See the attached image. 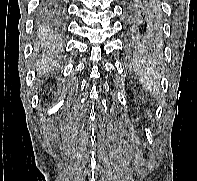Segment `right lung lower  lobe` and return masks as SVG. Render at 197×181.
Listing matches in <instances>:
<instances>
[{
  "instance_id": "obj_1",
  "label": "right lung lower lobe",
  "mask_w": 197,
  "mask_h": 181,
  "mask_svg": "<svg viewBox=\"0 0 197 181\" xmlns=\"http://www.w3.org/2000/svg\"><path fill=\"white\" fill-rule=\"evenodd\" d=\"M64 4L65 2L63 0H45V15L58 21L63 20L65 16Z\"/></svg>"
}]
</instances>
